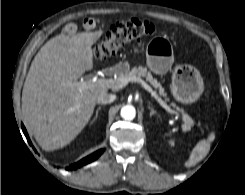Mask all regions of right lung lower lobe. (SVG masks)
Returning a JSON list of instances; mask_svg holds the SVG:
<instances>
[{"label": "right lung lower lobe", "instance_id": "obj_1", "mask_svg": "<svg viewBox=\"0 0 245 195\" xmlns=\"http://www.w3.org/2000/svg\"><path fill=\"white\" fill-rule=\"evenodd\" d=\"M22 130H23L24 135L27 138L28 143L31 145L29 136H28L27 131H26L23 124H22ZM102 153H103V150L100 149V150L92 153L91 155L83 158L82 160L78 161L77 163L70 165L69 167L66 168V170H76V169H78V168H80V167H82L88 163H91L92 161L96 160Z\"/></svg>", "mask_w": 245, "mask_h": 195}]
</instances>
